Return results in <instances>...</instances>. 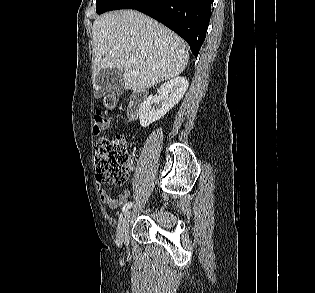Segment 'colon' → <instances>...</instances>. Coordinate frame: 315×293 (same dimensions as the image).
I'll use <instances>...</instances> for the list:
<instances>
[{"label": "colon", "mask_w": 315, "mask_h": 293, "mask_svg": "<svg viewBox=\"0 0 315 293\" xmlns=\"http://www.w3.org/2000/svg\"><path fill=\"white\" fill-rule=\"evenodd\" d=\"M108 123L107 117L97 111L93 116V131L99 134ZM130 156L126 140L121 136L98 138L95 147L97 179L108 185H122L129 176Z\"/></svg>", "instance_id": "5ec220e1"}]
</instances>
